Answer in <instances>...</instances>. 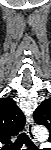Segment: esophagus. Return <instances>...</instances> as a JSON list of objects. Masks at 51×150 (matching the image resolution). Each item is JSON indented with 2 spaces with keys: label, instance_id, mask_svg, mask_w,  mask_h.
I'll return each mask as SVG.
<instances>
[{
  "label": "esophagus",
  "instance_id": "34e87169",
  "mask_svg": "<svg viewBox=\"0 0 51 150\" xmlns=\"http://www.w3.org/2000/svg\"><path fill=\"white\" fill-rule=\"evenodd\" d=\"M33 119L32 117H30L28 120H27V124H26V132L29 136V138L35 142V136H34V132H33Z\"/></svg>",
  "mask_w": 51,
  "mask_h": 150
}]
</instances>
